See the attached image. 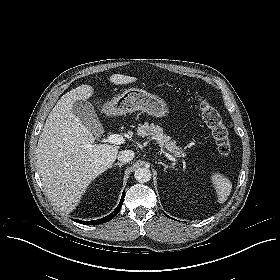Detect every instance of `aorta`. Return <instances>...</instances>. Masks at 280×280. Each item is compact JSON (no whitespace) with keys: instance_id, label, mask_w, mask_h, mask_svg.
I'll list each match as a JSON object with an SVG mask.
<instances>
[{"instance_id":"762f6f07","label":"aorta","mask_w":280,"mask_h":280,"mask_svg":"<svg viewBox=\"0 0 280 280\" xmlns=\"http://www.w3.org/2000/svg\"><path fill=\"white\" fill-rule=\"evenodd\" d=\"M134 177L139 183H146L151 179V171L146 167H139L135 170Z\"/></svg>"}]
</instances>
